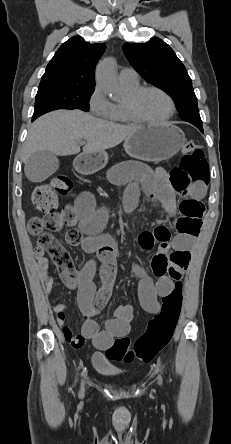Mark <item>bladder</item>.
<instances>
[{
    "label": "bladder",
    "mask_w": 231,
    "mask_h": 444,
    "mask_svg": "<svg viewBox=\"0 0 231 444\" xmlns=\"http://www.w3.org/2000/svg\"><path fill=\"white\" fill-rule=\"evenodd\" d=\"M93 365L96 372L103 376H112L117 373L116 368L110 360L101 353L93 355Z\"/></svg>",
    "instance_id": "1"
}]
</instances>
